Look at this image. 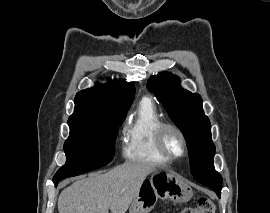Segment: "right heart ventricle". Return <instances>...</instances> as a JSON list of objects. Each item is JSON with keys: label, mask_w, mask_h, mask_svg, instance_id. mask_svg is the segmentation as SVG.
<instances>
[{"label": "right heart ventricle", "mask_w": 270, "mask_h": 213, "mask_svg": "<svg viewBox=\"0 0 270 213\" xmlns=\"http://www.w3.org/2000/svg\"><path fill=\"white\" fill-rule=\"evenodd\" d=\"M164 122L150 99H142L125 128L124 156L135 162L167 163L157 149L155 135Z\"/></svg>", "instance_id": "e07e8e85"}]
</instances>
